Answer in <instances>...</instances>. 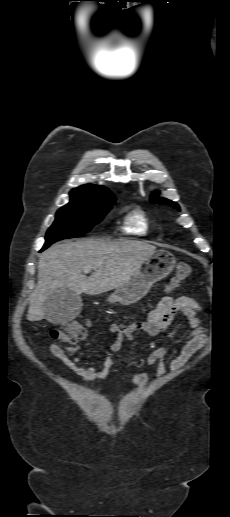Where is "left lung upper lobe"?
<instances>
[{"mask_svg": "<svg viewBox=\"0 0 230 517\" xmlns=\"http://www.w3.org/2000/svg\"><path fill=\"white\" fill-rule=\"evenodd\" d=\"M150 201H151L152 203L168 204V205H171V206H173V207H175V208L179 209V206H178V204H177V203H175V202H173V201H171V200H167V199H165V198H159V197L157 196V193H153V194L151 195Z\"/></svg>", "mask_w": 230, "mask_h": 517, "instance_id": "5c2ea615", "label": "left lung upper lobe"}]
</instances>
